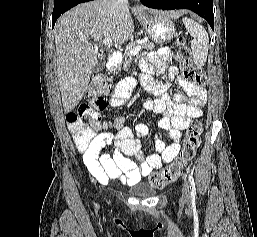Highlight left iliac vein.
Returning a JSON list of instances; mask_svg holds the SVG:
<instances>
[{
    "label": "left iliac vein",
    "instance_id": "4c4485c4",
    "mask_svg": "<svg viewBox=\"0 0 257 237\" xmlns=\"http://www.w3.org/2000/svg\"><path fill=\"white\" fill-rule=\"evenodd\" d=\"M182 199L184 201H188L190 199V190H189V184L185 180L182 187Z\"/></svg>",
    "mask_w": 257,
    "mask_h": 237
}]
</instances>
